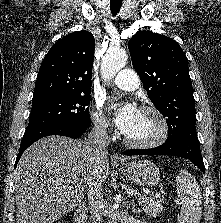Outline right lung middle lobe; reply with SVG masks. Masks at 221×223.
<instances>
[{
	"label": "right lung middle lobe",
	"instance_id": "dd1d6c3e",
	"mask_svg": "<svg viewBox=\"0 0 221 223\" xmlns=\"http://www.w3.org/2000/svg\"><path fill=\"white\" fill-rule=\"evenodd\" d=\"M27 130L52 123L90 127V92L34 100Z\"/></svg>",
	"mask_w": 221,
	"mask_h": 223
}]
</instances>
